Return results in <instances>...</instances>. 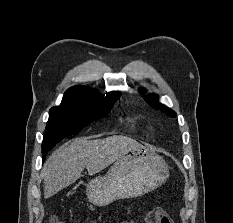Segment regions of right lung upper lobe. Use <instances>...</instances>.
Masks as SVG:
<instances>
[{"mask_svg":"<svg viewBox=\"0 0 233 223\" xmlns=\"http://www.w3.org/2000/svg\"><path fill=\"white\" fill-rule=\"evenodd\" d=\"M120 92H110L103 97L96 90L86 86H74L65 92L62 102H73L82 104L110 105L120 98Z\"/></svg>","mask_w":233,"mask_h":223,"instance_id":"1","label":"right lung upper lobe"}]
</instances>
